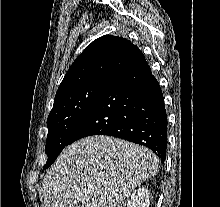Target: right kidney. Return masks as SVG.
Segmentation results:
<instances>
[{
	"label": "right kidney",
	"instance_id": "obj_1",
	"mask_svg": "<svg viewBox=\"0 0 220 207\" xmlns=\"http://www.w3.org/2000/svg\"><path fill=\"white\" fill-rule=\"evenodd\" d=\"M149 196L150 192L147 188H138L131 194L127 203V207H149Z\"/></svg>",
	"mask_w": 220,
	"mask_h": 207
}]
</instances>
